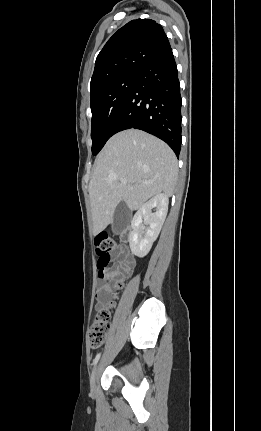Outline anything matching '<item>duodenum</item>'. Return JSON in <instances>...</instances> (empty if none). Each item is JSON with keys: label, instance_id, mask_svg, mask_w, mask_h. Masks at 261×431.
<instances>
[{"label": "duodenum", "instance_id": "1", "mask_svg": "<svg viewBox=\"0 0 261 431\" xmlns=\"http://www.w3.org/2000/svg\"><path fill=\"white\" fill-rule=\"evenodd\" d=\"M122 239H123V240H128V239H129V233H128V232L124 233V234L122 235Z\"/></svg>", "mask_w": 261, "mask_h": 431}]
</instances>
